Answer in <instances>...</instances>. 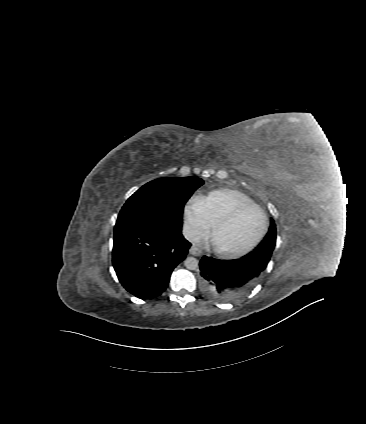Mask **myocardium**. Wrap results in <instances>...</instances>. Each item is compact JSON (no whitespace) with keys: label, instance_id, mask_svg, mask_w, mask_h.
Here are the masks:
<instances>
[{"label":"myocardium","instance_id":"1","mask_svg":"<svg viewBox=\"0 0 366 424\" xmlns=\"http://www.w3.org/2000/svg\"><path fill=\"white\" fill-rule=\"evenodd\" d=\"M248 209L258 210L263 217V227H262L259 235L256 237V239L253 242H251L249 245H247L246 247L241 248V249L232 250V249H226V248L218 246L215 243V240H214L215 233L217 232V230L220 227L232 222L239 214H241L243 211L248 210ZM268 224H269L268 216H267L265 210L261 206H259L258 204L249 203V204L239 205V206L235 207L234 209H232L227 214H225L224 216H222L221 218H219L213 224L212 232H211V238H212V242H213V245L215 247V250L219 254H221L222 256H226V257H239V256H242L244 254H247L248 252L252 251L254 248H256L261 243V241L263 240V238L265 237V235L267 233Z\"/></svg>","mask_w":366,"mask_h":424}]
</instances>
